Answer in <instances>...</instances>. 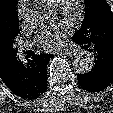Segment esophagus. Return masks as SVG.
I'll return each mask as SVG.
<instances>
[{
	"instance_id": "34e87169",
	"label": "esophagus",
	"mask_w": 113,
	"mask_h": 113,
	"mask_svg": "<svg viewBox=\"0 0 113 113\" xmlns=\"http://www.w3.org/2000/svg\"><path fill=\"white\" fill-rule=\"evenodd\" d=\"M63 53L69 57H73L77 54V51L76 50H66Z\"/></svg>"
}]
</instances>
